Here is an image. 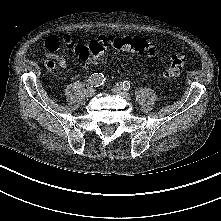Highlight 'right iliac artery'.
<instances>
[{
	"label": "right iliac artery",
	"mask_w": 221,
	"mask_h": 221,
	"mask_svg": "<svg viewBox=\"0 0 221 221\" xmlns=\"http://www.w3.org/2000/svg\"><path fill=\"white\" fill-rule=\"evenodd\" d=\"M105 77L102 73H94L87 80V86L90 88L100 86L104 83Z\"/></svg>",
	"instance_id": "1"
}]
</instances>
